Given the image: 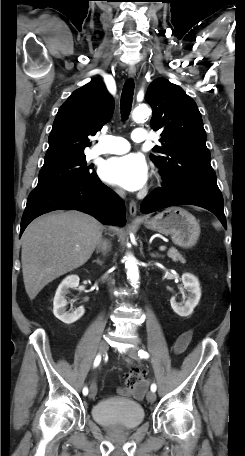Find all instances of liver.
<instances>
[{
	"mask_svg": "<svg viewBox=\"0 0 245 456\" xmlns=\"http://www.w3.org/2000/svg\"><path fill=\"white\" fill-rule=\"evenodd\" d=\"M103 231L94 217L59 211L31 222L22 235V273L31 300L51 281L84 265Z\"/></svg>",
	"mask_w": 245,
	"mask_h": 456,
	"instance_id": "6515ba94",
	"label": "liver"
}]
</instances>
